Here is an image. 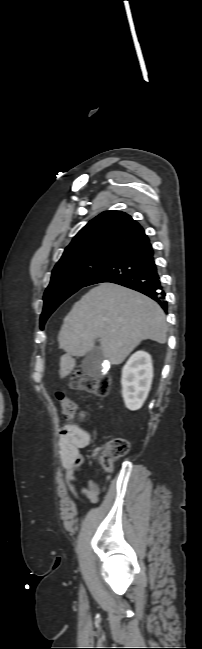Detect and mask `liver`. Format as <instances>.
I'll return each mask as SVG.
<instances>
[{
	"label": "liver",
	"instance_id": "liver-1",
	"mask_svg": "<svg viewBox=\"0 0 202 649\" xmlns=\"http://www.w3.org/2000/svg\"><path fill=\"white\" fill-rule=\"evenodd\" d=\"M167 324L162 308L151 298L114 283L92 288L63 320L58 342L66 354L60 359V378L75 367L74 356H84L99 338L103 356L120 364L142 340L164 344Z\"/></svg>",
	"mask_w": 202,
	"mask_h": 649
}]
</instances>
